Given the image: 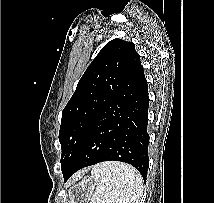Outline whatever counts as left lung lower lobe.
Here are the masks:
<instances>
[{
  "mask_svg": "<svg viewBox=\"0 0 214 203\" xmlns=\"http://www.w3.org/2000/svg\"><path fill=\"white\" fill-rule=\"evenodd\" d=\"M148 107V85L140 64L91 125L79 151L63 173L65 181L81 168L113 160L131 164L146 182Z\"/></svg>",
  "mask_w": 214,
  "mask_h": 203,
  "instance_id": "obj_1",
  "label": "left lung lower lobe"
}]
</instances>
